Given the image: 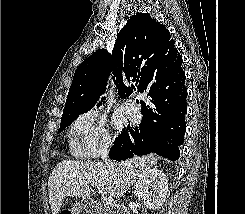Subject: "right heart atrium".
<instances>
[{
  "label": "right heart atrium",
  "instance_id": "d8ad5b80",
  "mask_svg": "<svg viewBox=\"0 0 245 214\" xmlns=\"http://www.w3.org/2000/svg\"><path fill=\"white\" fill-rule=\"evenodd\" d=\"M69 133L71 151L76 157H96L111 144V136L104 118L92 111L81 113L71 124Z\"/></svg>",
  "mask_w": 245,
  "mask_h": 214
}]
</instances>
